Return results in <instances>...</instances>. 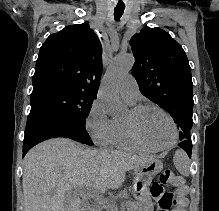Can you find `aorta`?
Wrapping results in <instances>:
<instances>
[{
    "instance_id": "aorta-1",
    "label": "aorta",
    "mask_w": 219,
    "mask_h": 211,
    "mask_svg": "<svg viewBox=\"0 0 219 211\" xmlns=\"http://www.w3.org/2000/svg\"><path fill=\"white\" fill-rule=\"evenodd\" d=\"M134 64L132 54H122L115 57L110 64L105 81L100 89L99 97L103 101L107 112L112 117L122 116L127 107L120 101L118 93V82L131 70Z\"/></svg>"
}]
</instances>
